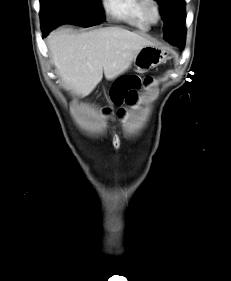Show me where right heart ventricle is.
<instances>
[{
    "mask_svg": "<svg viewBox=\"0 0 231 281\" xmlns=\"http://www.w3.org/2000/svg\"><path fill=\"white\" fill-rule=\"evenodd\" d=\"M103 6L111 18L124 21L141 29L148 28L141 0H103Z\"/></svg>",
    "mask_w": 231,
    "mask_h": 281,
    "instance_id": "right-heart-ventricle-1",
    "label": "right heart ventricle"
}]
</instances>
